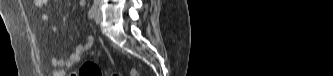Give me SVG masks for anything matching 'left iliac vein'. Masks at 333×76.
I'll return each instance as SVG.
<instances>
[{"instance_id":"left-iliac-vein-1","label":"left iliac vein","mask_w":333,"mask_h":76,"mask_svg":"<svg viewBox=\"0 0 333 76\" xmlns=\"http://www.w3.org/2000/svg\"><path fill=\"white\" fill-rule=\"evenodd\" d=\"M94 20L97 24H100L102 22V13L99 9L96 10Z\"/></svg>"}]
</instances>
